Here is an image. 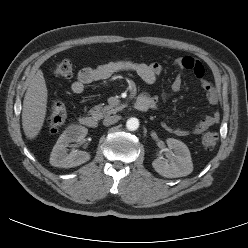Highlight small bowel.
<instances>
[{"instance_id":"small-bowel-1","label":"small bowel","mask_w":248,"mask_h":248,"mask_svg":"<svg viewBox=\"0 0 248 248\" xmlns=\"http://www.w3.org/2000/svg\"><path fill=\"white\" fill-rule=\"evenodd\" d=\"M175 66L180 69H185L192 71L193 74L200 80L202 88L205 91L206 100L210 104H217L219 101V95L210 80L205 77V68L203 64L189 56L177 57L173 59ZM129 71L136 73L142 81L147 84H153L157 77L163 72V65L159 62L152 63H141L135 62L132 60H117L111 61L102 65H99L95 68L86 67L81 69L77 74V79L71 85V91L74 94H81L84 92L87 86L106 80L110 78L112 75ZM182 88V78L181 76H176L171 84V89L174 92H179ZM150 100L151 107H155L158 103V98L156 96H147ZM168 95L164 94L163 98L167 99ZM220 121V114L218 112H214L210 115L205 116L200 119L195 126L188 130L183 128H174L166 122L162 123L163 129L166 131L173 133L177 136H187L190 134L198 135L218 124Z\"/></svg>"}]
</instances>
